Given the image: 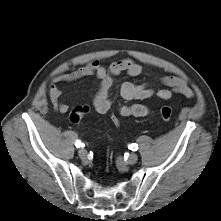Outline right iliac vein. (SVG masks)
<instances>
[{
  "instance_id": "obj_1",
  "label": "right iliac vein",
  "mask_w": 221,
  "mask_h": 221,
  "mask_svg": "<svg viewBox=\"0 0 221 221\" xmlns=\"http://www.w3.org/2000/svg\"><path fill=\"white\" fill-rule=\"evenodd\" d=\"M78 154L81 159L83 160L87 159V151L85 149H80Z\"/></svg>"
}]
</instances>
